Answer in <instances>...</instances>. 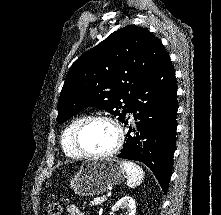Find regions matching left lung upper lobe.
<instances>
[{
	"label": "left lung upper lobe",
	"mask_w": 221,
	"mask_h": 215,
	"mask_svg": "<svg viewBox=\"0 0 221 215\" xmlns=\"http://www.w3.org/2000/svg\"><path fill=\"white\" fill-rule=\"evenodd\" d=\"M168 56L161 41L145 28L128 25L115 31L70 67L57 122L88 106L102 108L123 122L140 86Z\"/></svg>",
	"instance_id": "5c2ea615"
}]
</instances>
